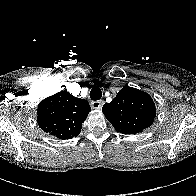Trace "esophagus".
Here are the masks:
<instances>
[{
    "mask_svg": "<svg viewBox=\"0 0 196 196\" xmlns=\"http://www.w3.org/2000/svg\"><path fill=\"white\" fill-rule=\"evenodd\" d=\"M102 106H103V101H101V100L93 101V102L91 103V107H92L93 109H101Z\"/></svg>",
    "mask_w": 196,
    "mask_h": 196,
    "instance_id": "esophagus-1",
    "label": "esophagus"
}]
</instances>
